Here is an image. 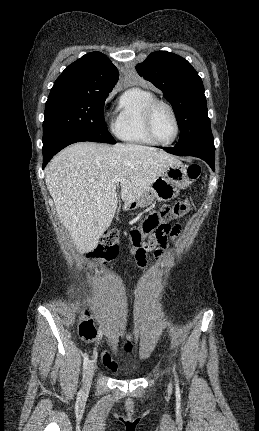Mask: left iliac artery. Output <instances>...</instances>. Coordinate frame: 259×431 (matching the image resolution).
Instances as JSON below:
<instances>
[{
    "label": "left iliac artery",
    "mask_w": 259,
    "mask_h": 431,
    "mask_svg": "<svg viewBox=\"0 0 259 431\" xmlns=\"http://www.w3.org/2000/svg\"><path fill=\"white\" fill-rule=\"evenodd\" d=\"M174 373H175V377H177L176 372H175V369H174Z\"/></svg>",
    "instance_id": "left-iliac-artery-1"
}]
</instances>
